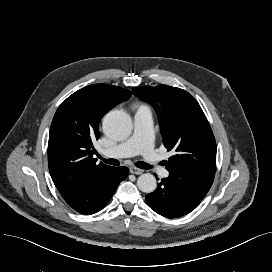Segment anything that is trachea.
<instances>
[{"label":"trachea","mask_w":272,"mask_h":272,"mask_svg":"<svg viewBox=\"0 0 272 272\" xmlns=\"http://www.w3.org/2000/svg\"><path fill=\"white\" fill-rule=\"evenodd\" d=\"M100 159L107 163V164H110V165H113V166H119L120 165V162L117 160V159H105V158H102L100 157ZM135 165L138 167V168H141V169H151V166L143 161H137L135 163Z\"/></svg>","instance_id":"3493384b"}]
</instances>
